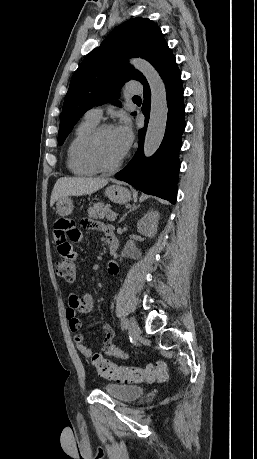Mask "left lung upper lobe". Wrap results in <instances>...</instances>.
Wrapping results in <instances>:
<instances>
[{"label": "left lung upper lobe", "mask_w": 257, "mask_h": 459, "mask_svg": "<svg viewBox=\"0 0 257 459\" xmlns=\"http://www.w3.org/2000/svg\"><path fill=\"white\" fill-rule=\"evenodd\" d=\"M169 53L171 50L160 28L147 18H134L114 29L84 58L71 79L63 104L58 143L63 144L87 110L118 98L126 81L146 82L142 73L127 62L128 58H144L158 69ZM114 104L120 106L118 101Z\"/></svg>", "instance_id": "5c2ea615"}]
</instances>
